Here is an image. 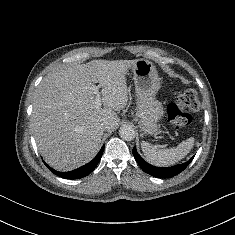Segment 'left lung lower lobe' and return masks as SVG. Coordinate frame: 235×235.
Instances as JSON below:
<instances>
[{"label":"left lung lower lobe","mask_w":235,"mask_h":235,"mask_svg":"<svg viewBox=\"0 0 235 235\" xmlns=\"http://www.w3.org/2000/svg\"><path fill=\"white\" fill-rule=\"evenodd\" d=\"M133 155L135 157V160L139 164V166L148 174L158 177V178H170L173 177L179 173H181L193 160L194 156L187 161L186 163L175 165L173 167L169 168H159L153 165H150L146 161L141 158V156L137 153L136 147L133 148Z\"/></svg>","instance_id":"left-lung-lower-lobe-1"}]
</instances>
